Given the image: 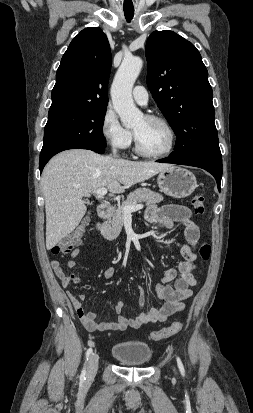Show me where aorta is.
<instances>
[{"mask_svg":"<svg viewBox=\"0 0 253 413\" xmlns=\"http://www.w3.org/2000/svg\"><path fill=\"white\" fill-rule=\"evenodd\" d=\"M142 66L143 61L140 57L125 58L111 86L113 107L126 128L135 126L143 118L142 112L134 105L132 98V88Z\"/></svg>","mask_w":253,"mask_h":413,"instance_id":"762f6f07","label":"aorta"}]
</instances>
